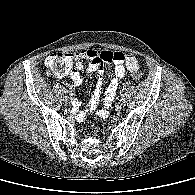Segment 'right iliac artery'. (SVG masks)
I'll list each match as a JSON object with an SVG mask.
<instances>
[{
	"instance_id": "right-iliac-artery-1",
	"label": "right iliac artery",
	"mask_w": 195,
	"mask_h": 195,
	"mask_svg": "<svg viewBox=\"0 0 195 195\" xmlns=\"http://www.w3.org/2000/svg\"><path fill=\"white\" fill-rule=\"evenodd\" d=\"M64 92H65V93H68V90H67V89H65V90H64Z\"/></svg>"
}]
</instances>
